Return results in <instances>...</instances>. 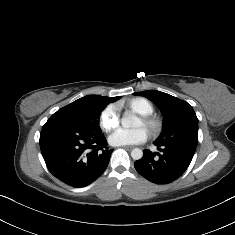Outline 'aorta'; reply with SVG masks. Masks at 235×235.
Returning a JSON list of instances; mask_svg holds the SVG:
<instances>
[{
    "instance_id": "1",
    "label": "aorta",
    "mask_w": 235,
    "mask_h": 235,
    "mask_svg": "<svg viewBox=\"0 0 235 235\" xmlns=\"http://www.w3.org/2000/svg\"><path fill=\"white\" fill-rule=\"evenodd\" d=\"M121 125L123 128H137L141 125L140 120L131 113H124L121 118ZM131 157L134 160H140L143 157V151L139 148H135L131 151Z\"/></svg>"
}]
</instances>
